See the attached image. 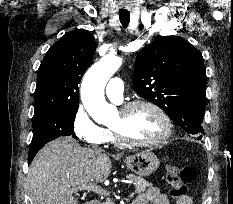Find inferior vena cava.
Wrapping results in <instances>:
<instances>
[{
	"label": "inferior vena cava",
	"mask_w": 233,
	"mask_h": 204,
	"mask_svg": "<svg viewBox=\"0 0 233 204\" xmlns=\"http://www.w3.org/2000/svg\"><path fill=\"white\" fill-rule=\"evenodd\" d=\"M95 151H97V152H101L102 150H101V149H95Z\"/></svg>",
	"instance_id": "obj_1"
}]
</instances>
